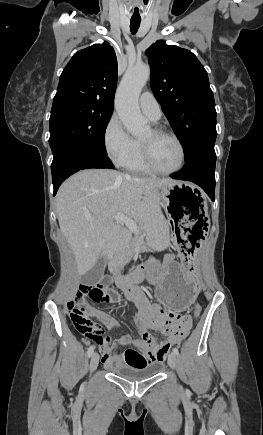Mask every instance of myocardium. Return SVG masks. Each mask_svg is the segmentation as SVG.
<instances>
[{
    "mask_svg": "<svg viewBox=\"0 0 263 435\" xmlns=\"http://www.w3.org/2000/svg\"><path fill=\"white\" fill-rule=\"evenodd\" d=\"M151 131L155 136H166V137L172 138L180 148L181 161H180L179 166L176 167L175 169H172L169 171L161 170L155 165V163L153 161L152 153H151V149H150L149 145L147 143L141 141L144 160H145V163H146L147 167L149 168V170L151 172H153L155 174H159V175H171V174H174V173L180 171L184 167L185 162H186V150H185V146H184L183 142L181 141V139L175 133H173L169 130H166L164 128L155 127Z\"/></svg>",
    "mask_w": 263,
    "mask_h": 435,
    "instance_id": "myocardium-1",
    "label": "myocardium"
}]
</instances>
